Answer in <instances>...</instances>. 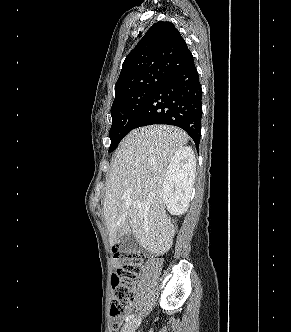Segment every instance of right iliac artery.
Instances as JSON below:
<instances>
[{"label": "right iliac artery", "instance_id": "obj_1", "mask_svg": "<svg viewBox=\"0 0 291 332\" xmlns=\"http://www.w3.org/2000/svg\"><path fill=\"white\" fill-rule=\"evenodd\" d=\"M134 318V315L132 314V315H129V316H127L126 317V319H125V321L126 322H129L131 319H133Z\"/></svg>", "mask_w": 291, "mask_h": 332}]
</instances>
